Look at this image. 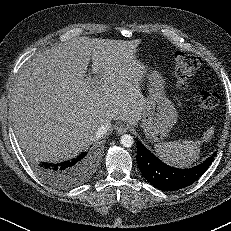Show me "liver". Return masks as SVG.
<instances>
[{
    "label": "liver",
    "mask_w": 231,
    "mask_h": 231,
    "mask_svg": "<svg viewBox=\"0 0 231 231\" xmlns=\"http://www.w3.org/2000/svg\"><path fill=\"white\" fill-rule=\"evenodd\" d=\"M140 39L76 37L36 54L20 69L10 116L22 147L41 161L76 157L102 124H136L146 106ZM92 61L93 78L86 72Z\"/></svg>",
    "instance_id": "obj_1"
}]
</instances>
